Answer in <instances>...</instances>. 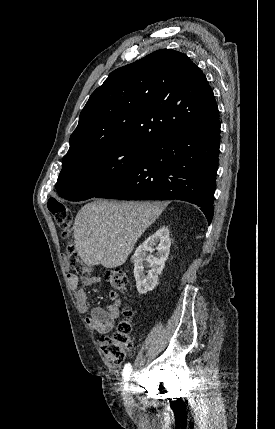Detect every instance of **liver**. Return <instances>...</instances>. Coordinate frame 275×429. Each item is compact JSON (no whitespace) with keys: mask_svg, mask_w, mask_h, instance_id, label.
<instances>
[{"mask_svg":"<svg viewBox=\"0 0 275 429\" xmlns=\"http://www.w3.org/2000/svg\"><path fill=\"white\" fill-rule=\"evenodd\" d=\"M162 202L95 200L84 205L74 222L75 248L89 267L123 265L144 231L164 209Z\"/></svg>","mask_w":275,"mask_h":429,"instance_id":"liver-1","label":"liver"}]
</instances>
